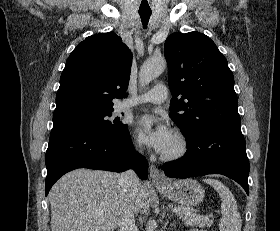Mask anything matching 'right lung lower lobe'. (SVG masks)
I'll use <instances>...</instances> for the list:
<instances>
[{
    "label": "right lung lower lobe",
    "mask_w": 280,
    "mask_h": 231,
    "mask_svg": "<svg viewBox=\"0 0 280 231\" xmlns=\"http://www.w3.org/2000/svg\"><path fill=\"white\" fill-rule=\"evenodd\" d=\"M45 193L65 173L77 168L121 172L133 167L148 177V163L133 146L128 128L119 134H101L82 128L52 129L46 151Z\"/></svg>",
    "instance_id": "right-lung-lower-lobe-1"
}]
</instances>
